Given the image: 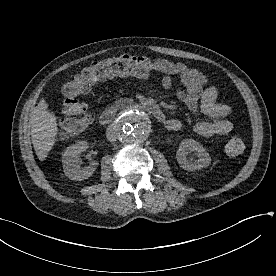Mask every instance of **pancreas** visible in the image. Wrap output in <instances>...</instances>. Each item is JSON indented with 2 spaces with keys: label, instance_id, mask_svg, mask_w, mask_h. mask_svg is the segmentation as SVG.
<instances>
[{
  "label": "pancreas",
  "instance_id": "1",
  "mask_svg": "<svg viewBox=\"0 0 276 276\" xmlns=\"http://www.w3.org/2000/svg\"><path fill=\"white\" fill-rule=\"evenodd\" d=\"M133 103V100L132 99H127V98H119L115 101V104L117 106H124L126 104H131Z\"/></svg>",
  "mask_w": 276,
  "mask_h": 276
}]
</instances>
